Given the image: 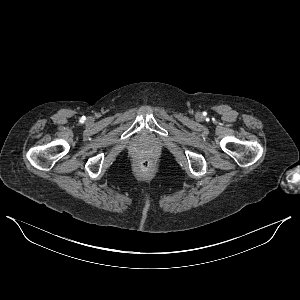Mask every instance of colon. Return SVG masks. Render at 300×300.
Wrapping results in <instances>:
<instances>
[{
  "label": "colon",
  "mask_w": 300,
  "mask_h": 300,
  "mask_svg": "<svg viewBox=\"0 0 300 300\" xmlns=\"http://www.w3.org/2000/svg\"><path fill=\"white\" fill-rule=\"evenodd\" d=\"M152 165H153V162L149 158H143L138 163L139 168L143 171H147V170L151 169Z\"/></svg>",
  "instance_id": "5ec220e1"
}]
</instances>
